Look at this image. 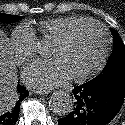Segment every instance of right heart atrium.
Segmentation results:
<instances>
[{
	"mask_svg": "<svg viewBox=\"0 0 125 125\" xmlns=\"http://www.w3.org/2000/svg\"><path fill=\"white\" fill-rule=\"evenodd\" d=\"M37 38L28 25L17 26L10 37L9 49L16 64L30 60L37 52Z\"/></svg>",
	"mask_w": 125,
	"mask_h": 125,
	"instance_id": "1",
	"label": "right heart atrium"
}]
</instances>
